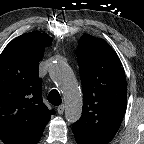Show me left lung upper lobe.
I'll return each mask as SVG.
<instances>
[{
  "label": "left lung upper lobe",
  "instance_id": "left-lung-upper-lobe-1",
  "mask_svg": "<svg viewBox=\"0 0 144 144\" xmlns=\"http://www.w3.org/2000/svg\"><path fill=\"white\" fill-rule=\"evenodd\" d=\"M76 55L83 87V110L72 131L84 141L108 144L116 135L126 109L124 70L109 44L88 34L80 38Z\"/></svg>",
  "mask_w": 144,
  "mask_h": 144
}]
</instances>
